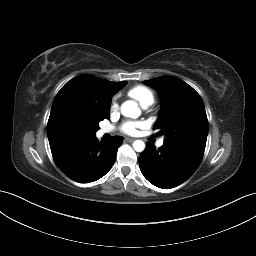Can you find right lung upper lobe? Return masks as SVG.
<instances>
[{"instance_id": "obj_1", "label": "right lung upper lobe", "mask_w": 256, "mask_h": 256, "mask_svg": "<svg viewBox=\"0 0 256 256\" xmlns=\"http://www.w3.org/2000/svg\"><path fill=\"white\" fill-rule=\"evenodd\" d=\"M124 82H110L93 75L82 74L67 82L55 97L47 124L49 142L64 138L69 119L93 123L109 119L111 97Z\"/></svg>"}]
</instances>
